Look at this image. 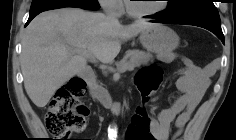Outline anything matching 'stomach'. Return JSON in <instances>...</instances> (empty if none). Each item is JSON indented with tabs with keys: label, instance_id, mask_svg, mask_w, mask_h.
I'll return each instance as SVG.
<instances>
[{
	"label": "stomach",
	"instance_id": "stomach-1",
	"mask_svg": "<svg viewBox=\"0 0 236 140\" xmlns=\"http://www.w3.org/2000/svg\"><path fill=\"white\" fill-rule=\"evenodd\" d=\"M139 39L145 49L157 55L171 53L178 47L180 40L172 29L161 24H154L142 31Z\"/></svg>",
	"mask_w": 236,
	"mask_h": 140
}]
</instances>
